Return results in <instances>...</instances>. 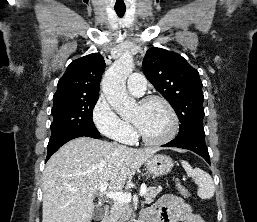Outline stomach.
<instances>
[{
  "instance_id": "obj_1",
  "label": "stomach",
  "mask_w": 257,
  "mask_h": 222,
  "mask_svg": "<svg viewBox=\"0 0 257 222\" xmlns=\"http://www.w3.org/2000/svg\"><path fill=\"white\" fill-rule=\"evenodd\" d=\"M148 172L154 176L159 177L167 174L173 168V161L167 155H154L146 161Z\"/></svg>"
}]
</instances>
